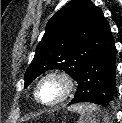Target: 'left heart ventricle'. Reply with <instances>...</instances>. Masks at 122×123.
<instances>
[{
    "label": "left heart ventricle",
    "mask_w": 122,
    "mask_h": 123,
    "mask_svg": "<svg viewBox=\"0 0 122 123\" xmlns=\"http://www.w3.org/2000/svg\"><path fill=\"white\" fill-rule=\"evenodd\" d=\"M63 83L56 78H49L43 82L40 88V97L45 102L56 100L63 93Z\"/></svg>",
    "instance_id": "1"
}]
</instances>
